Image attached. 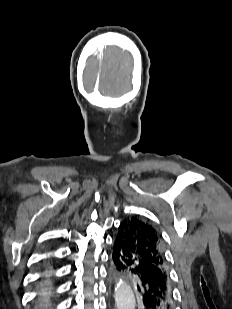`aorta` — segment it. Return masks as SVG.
<instances>
[{"mask_svg": "<svg viewBox=\"0 0 232 309\" xmlns=\"http://www.w3.org/2000/svg\"><path fill=\"white\" fill-rule=\"evenodd\" d=\"M114 297L117 309H135V296L128 284L118 282L115 286Z\"/></svg>", "mask_w": 232, "mask_h": 309, "instance_id": "aorta-1", "label": "aorta"}]
</instances>
